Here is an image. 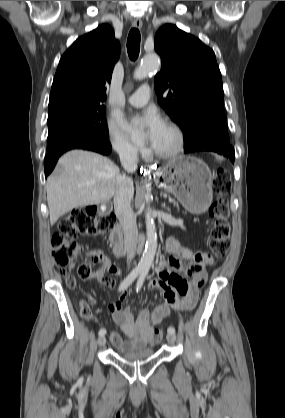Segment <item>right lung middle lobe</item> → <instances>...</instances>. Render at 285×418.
I'll return each instance as SVG.
<instances>
[{
  "label": "right lung middle lobe",
  "instance_id": "dd1d6c3e",
  "mask_svg": "<svg viewBox=\"0 0 285 418\" xmlns=\"http://www.w3.org/2000/svg\"><path fill=\"white\" fill-rule=\"evenodd\" d=\"M47 151L78 137L109 140L102 103L59 101L49 104Z\"/></svg>",
  "mask_w": 285,
  "mask_h": 418
}]
</instances>
